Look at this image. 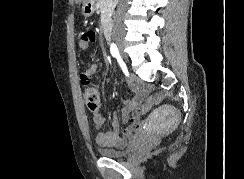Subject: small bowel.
<instances>
[{
  "label": "small bowel",
  "mask_w": 244,
  "mask_h": 179,
  "mask_svg": "<svg viewBox=\"0 0 244 179\" xmlns=\"http://www.w3.org/2000/svg\"><path fill=\"white\" fill-rule=\"evenodd\" d=\"M83 36V38H82ZM97 34L94 31H83L78 39V46L82 50H87L91 42L96 41ZM99 69L97 62L85 64L83 71L80 74V80L83 84H88L92 75ZM141 88V87H140ZM142 94L137 93L131 100L126 102L122 112L121 120L127 123L122 131H120V119L118 116H113L110 124V130L107 132H98L96 135V143L102 147H120L125 145L128 137L140 124V111L145 110L140 108V99ZM94 125L97 129H101L105 124V117L100 112L93 114Z\"/></svg>",
  "instance_id": "c3829d8e"
}]
</instances>
